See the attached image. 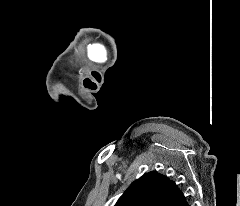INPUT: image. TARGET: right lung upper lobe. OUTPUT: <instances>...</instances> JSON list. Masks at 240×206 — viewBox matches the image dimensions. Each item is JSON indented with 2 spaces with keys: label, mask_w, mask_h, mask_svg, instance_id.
<instances>
[{
  "label": "right lung upper lobe",
  "mask_w": 240,
  "mask_h": 206,
  "mask_svg": "<svg viewBox=\"0 0 240 206\" xmlns=\"http://www.w3.org/2000/svg\"><path fill=\"white\" fill-rule=\"evenodd\" d=\"M115 206H188V203L173 181L153 171L133 182Z\"/></svg>",
  "instance_id": "1"
}]
</instances>
